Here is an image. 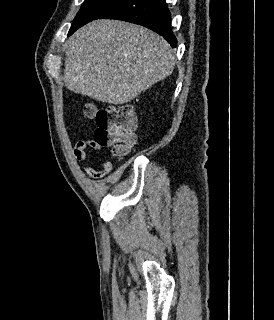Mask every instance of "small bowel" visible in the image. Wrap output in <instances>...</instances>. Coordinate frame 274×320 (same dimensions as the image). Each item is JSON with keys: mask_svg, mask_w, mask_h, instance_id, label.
I'll return each instance as SVG.
<instances>
[{"mask_svg": "<svg viewBox=\"0 0 274 320\" xmlns=\"http://www.w3.org/2000/svg\"><path fill=\"white\" fill-rule=\"evenodd\" d=\"M99 140H80L76 143L74 149V157L78 161L87 160V150L90 148L99 147ZM109 151V148H106ZM83 171L93 179H100L110 174L112 170V164L110 162H104L101 165V170L97 171L91 167L82 166Z\"/></svg>", "mask_w": 274, "mask_h": 320, "instance_id": "obj_1", "label": "small bowel"}]
</instances>
